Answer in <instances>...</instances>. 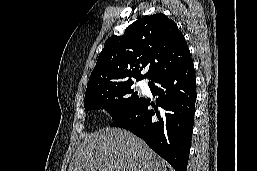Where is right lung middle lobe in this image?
Returning <instances> with one entry per match:
<instances>
[{"label":"right lung middle lobe","instance_id":"dd1d6c3e","mask_svg":"<svg viewBox=\"0 0 257 171\" xmlns=\"http://www.w3.org/2000/svg\"><path fill=\"white\" fill-rule=\"evenodd\" d=\"M132 85L133 82H126L86 92L85 110L105 109L112 119L123 115L140 99Z\"/></svg>","mask_w":257,"mask_h":171}]
</instances>
